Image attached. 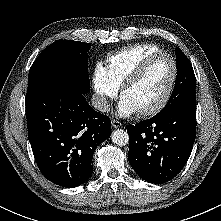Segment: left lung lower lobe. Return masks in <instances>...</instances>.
I'll list each match as a JSON object with an SVG mask.
<instances>
[{"instance_id":"obj_1","label":"left lung lower lobe","mask_w":221,"mask_h":221,"mask_svg":"<svg viewBox=\"0 0 221 221\" xmlns=\"http://www.w3.org/2000/svg\"><path fill=\"white\" fill-rule=\"evenodd\" d=\"M129 162L150 183H165L185 166L196 136V105H182L165 115L127 125Z\"/></svg>"}]
</instances>
